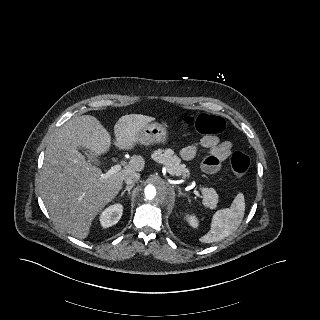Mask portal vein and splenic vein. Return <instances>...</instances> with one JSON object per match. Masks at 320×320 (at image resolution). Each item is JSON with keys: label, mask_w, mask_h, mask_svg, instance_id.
I'll use <instances>...</instances> for the list:
<instances>
[{"label": "portal vein and splenic vein", "mask_w": 320, "mask_h": 320, "mask_svg": "<svg viewBox=\"0 0 320 320\" xmlns=\"http://www.w3.org/2000/svg\"><path fill=\"white\" fill-rule=\"evenodd\" d=\"M120 170H121V165H114V166H112V167L110 168V170L105 174V176L108 177V176H110V175H112V174H114V173L119 172ZM194 194H195L197 197H199V198L202 197V196L200 195V193H199L198 191H196V190H194Z\"/></svg>", "instance_id": "portal-vein-and-splenic-vein-1"}]
</instances>
